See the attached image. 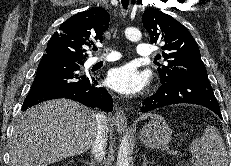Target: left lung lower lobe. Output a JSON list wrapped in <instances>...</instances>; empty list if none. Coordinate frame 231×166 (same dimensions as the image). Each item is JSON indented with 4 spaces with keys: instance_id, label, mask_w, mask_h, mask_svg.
I'll return each instance as SVG.
<instances>
[{
    "instance_id": "1",
    "label": "left lung lower lobe",
    "mask_w": 231,
    "mask_h": 166,
    "mask_svg": "<svg viewBox=\"0 0 231 166\" xmlns=\"http://www.w3.org/2000/svg\"><path fill=\"white\" fill-rule=\"evenodd\" d=\"M160 82L161 85L156 93L143 102L141 112L145 113L172 104L189 103L207 107L222 118L208 78L180 76Z\"/></svg>"
}]
</instances>
